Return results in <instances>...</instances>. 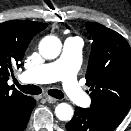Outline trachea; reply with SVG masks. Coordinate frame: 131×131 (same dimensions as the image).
<instances>
[{"instance_id":"trachea-1","label":"trachea","mask_w":131,"mask_h":131,"mask_svg":"<svg viewBox=\"0 0 131 131\" xmlns=\"http://www.w3.org/2000/svg\"><path fill=\"white\" fill-rule=\"evenodd\" d=\"M15 84L18 89L26 94L38 95L42 92L41 88L36 85H20L17 81H15ZM48 94L56 99L64 98V94L57 89H50Z\"/></svg>"}]
</instances>
